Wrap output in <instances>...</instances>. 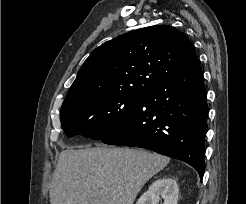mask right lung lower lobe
<instances>
[{"instance_id":"1","label":"right lung lower lobe","mask_w":246,"mask_h":204,"mask_svg":"<svg viewBox=\"0 0 246 204\" xmlns=\"http://www.w3.org/2000/svg\"><path fill=\"white\" fill-rule=\"evenodd\" d=\"M207 117V94L197 60L143 92L125 122L101 141L146 148L182 160L202 178Z\"/></svg>"}]
</instances>
